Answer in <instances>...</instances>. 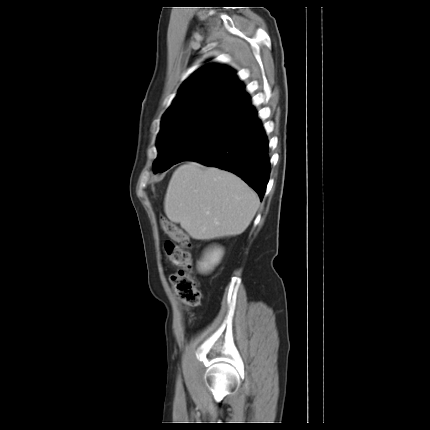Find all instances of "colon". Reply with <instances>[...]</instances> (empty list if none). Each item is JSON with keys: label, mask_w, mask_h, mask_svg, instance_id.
<instances>
[{"label": "colon", "mask_w": 430, "mask_h": 430, "mask_svg": "<svg viewBox=\"0 0 430 430\" xmlns=\"http://www.w3.org/2000/svg\"><path fill=\"white\" fill-rule=\"evenodd\" d=\"M161 227L169 237L165 243V254L178 270L171 274L170 280L179 300L186 307H195L200 303L201 293L198 282L192 272V257L189 252V236L172 222L162 219Z\"/></svg>", "instance_id": "1"}]
</instances>
